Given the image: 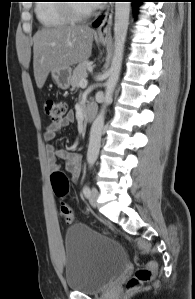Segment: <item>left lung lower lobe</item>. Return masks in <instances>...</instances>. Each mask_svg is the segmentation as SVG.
Returning a JSON list of instances; mask_svg holds the SVG:
<instances>
[{"instance_id": "left-lung-lower-lobe-1", "label": "left lung lower lobe", "mask_w": 195, "mask_h": 299, "mask_svg": "<svg viewBox=\"0 0 195 299\" xmlns=\"http://www.w3.org/2000/svg\"><path fill=\"white\" fill-rule=\"evenodd\" d=\"M131 2H133V7L135 10V14H136V10H137V6L139 3L143 2L142 0H130ZM103 17H99L94 23L93 26L94 27H98L102 21Z\"/></svg>"}]
</instances>
